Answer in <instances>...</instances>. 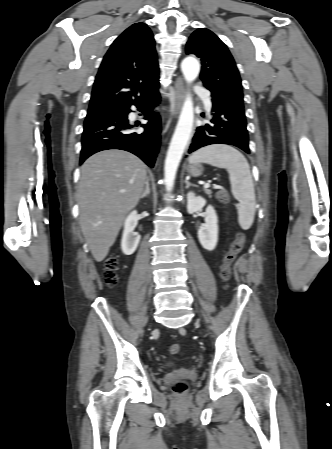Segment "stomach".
I'll use <instances>...</instances> for the list:
<instances>
[{
	"label": "stomach",
	"mask_w": 332,
	"mask_h": 449,
	"mask_svg": "<svg viewBox=\"0 0 332 449\" xmlns=\"http://www.w3.org/2000/svg\"><path fill=\"white\" fill-rule=\"evenodd\" d=\"M187 172L193 177H198L202 174L203 168L200 164H192L187 167Z\"/></svg>",
	"instance_id": "0dacf381"
}]
</instances>
